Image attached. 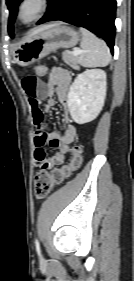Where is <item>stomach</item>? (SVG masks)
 I'll return each mask as SVG.
<instances>
[{"label":"stomach","instance_id":"0dacf381","mask_svg":"<svg viewBox=\"0 0 134 281\" xmlns=\"http://www.w3.org/2000/svg\"><path fill=\"white\" fill-rule=\"evenodd\" d=\"M79 37L73 28L54 24L22 42L14 51L13 60L22 67L29 66L59 48L74 47Z\"/></svg>","mask_w":134,"mask_h":281}]
</instances>
